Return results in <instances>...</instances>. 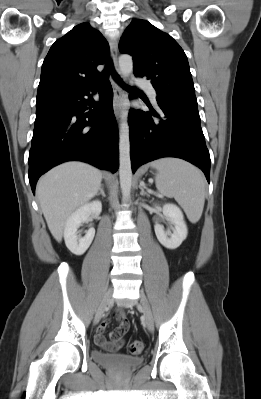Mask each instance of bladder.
Masks as SVG:
<instances>
[{
	"mask_svg": "<svg viewBox=\"0 0 261 399\" xmlns=\"http://www.w3.org/2000/svg\"><path fill=\"white\" fill-rule=\"evenodd\" d=\"M91 355L95 362L112 370H131L143 362L141 357L128 356L122 353H106L93 350Z\"/></svg>",
	"mask_w": 261,
	"mask_h": 399,
	"instance_id": "obj_1",
	"label": "bladder"
}]
</instances>
